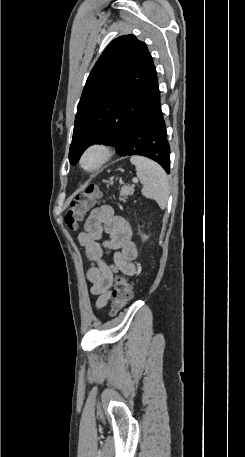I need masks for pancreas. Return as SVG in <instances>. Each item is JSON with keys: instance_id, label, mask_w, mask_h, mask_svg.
I'll use <instances>...</instances> for the list:
<instances>
[{"instance_id": "1", "label": "pancreas", "mask_w": 245, "mask_h": 457, "mask_svg": "<svg viewBox=\"0 0 245 457\" xmlns=\"http://www.w3.org/2000/svg\"><path fill=\"white\" fill-rule=\"evenodd\" d=\"M133 192H134L133 186H126V184H124V186H122V188L120 190L119 200H123V202H125V198H127V194H133Z\"/></svg>"}]
</instances>
